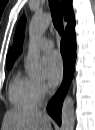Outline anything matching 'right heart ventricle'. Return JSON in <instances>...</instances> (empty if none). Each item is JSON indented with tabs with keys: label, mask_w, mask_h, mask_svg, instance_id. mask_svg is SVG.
I'll use <instances>...</instances> for the list:
<instances>
[{
	"label": "right heart ventricle",
	"mask_w": 95,
	"mask_h": 130,
	"mask_svg": "<svg viewBox=\"0 0 95 130\" xmlns=\"http://www.w3.org/2000/svg\"><path fill=\"white\" fill-rule=\"evenodd\" d=\"M11 103L20 109L37 107L41 99L35 88L34 79L17 74L9 86Z\"/></svg>",
	"instance_id": "e07e8e85"
}]
</instances>
